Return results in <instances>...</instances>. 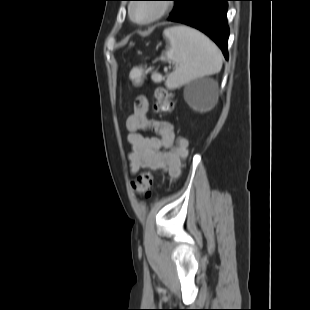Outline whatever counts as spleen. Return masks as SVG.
Returning <instances> with one entry per match:
<instances>
[{
    "label": "spleen",
    "mask_w": 310,
    "mask_h": 310,
    "mask_svg": "<svg viewBox=\"0 0 310 310\" xmlns=\"http://www.w3.org/2000/svg\"><path fill=\"white\" fill-rule=\"evenodd\" d=\"M168 46L161 59L170 61L175 69L166 80L168 89L178 88L190 81L218 73L222 68V53L203 33L191 27L179 25L163 33ZM143 69L134 68L130 79L135 84L142 81Z\"/></svg>",
    "instance_id": "obj_1"
}]
</instances>
